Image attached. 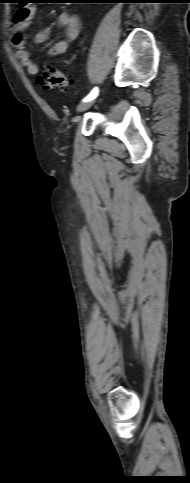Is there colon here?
<instances>
[{
    "instance_id": "colon-1",
    "label": "colon",
    "mask_w": 190,
    "mask_h": 483,
    "mask_svg": "<svg viewBox=\"0 0 190 483\" xmlns=\"http://www.w3.org/2000/svg\"><path fill=\"white\" fill-rule=\"evenodd\" d=\"M31 3H35L32 0ZM72 80L61 70L55 67H46L39 78V83L49 89H58L61 91L66 90L71 84Z\"/></svg>"
}]
</instances>
